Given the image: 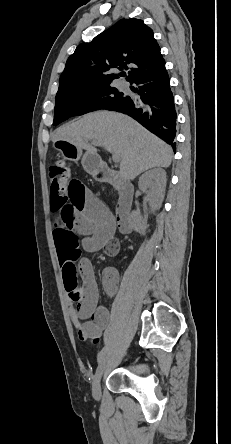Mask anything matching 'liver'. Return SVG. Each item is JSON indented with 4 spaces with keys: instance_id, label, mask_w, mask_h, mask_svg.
Here are the masks:
<instances>
[{
    "instance_id": "1",
    "label": "liver",
    "mask_w": 231,
    "mask_h": 444,
    "mask_svg": "<svg viewBox=\"0 0 231 444\" xmlns=\"http://www.w3.org/2000/svg\"><path fill=\"white\" fill-rule=\"evenodd\" d=\"M66 140L81 151L97 155L89 141H98L107 151L120 156V174L134 179L154 167H168L172 148L132 118L115 112L98 111L56 129L53 142Z\"/></svg>"
}]
</instances>
